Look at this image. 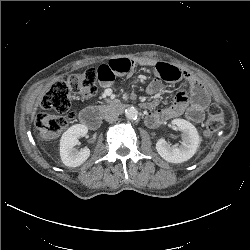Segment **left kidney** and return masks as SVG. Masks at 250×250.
<instances>
[{"mask_svg":"<svg viewBox=\"0 0 250 250\" xmlns=\"http://www.w3.org/2000/svg\"><path fill=\"white\" fill-rule=\"evenodd\" d=\"M172 124L182 132V141L179 147L170 146L161 138L156 143L158 154L167 162L182 163L189 160L197 151L200 144V136L195 126L184 119H174Z\"/></svg>","mask_w":250,"mask_h":250,"instance_id":"1","label":"left kidney"}]
</instances>
